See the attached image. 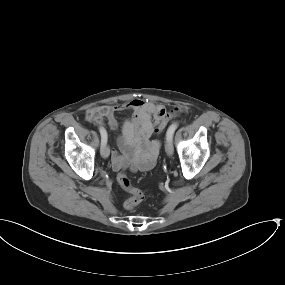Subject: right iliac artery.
I'll return each instance as SVG.
<instances>
[{
  "instance_id": "1",
  "label": "right iliac artery",
  "mask_w": 285,
  "mask_h": 285,
  "mask_svg": "<svg viewBox=\"0 0 285 285\" xmlns=\"http://www.w3.org/2000/svg\"><path fill=\"white\" fill-rule=\"evenodd\" d=\"M99 132L101 134V145L107 142V132L103 127H99Z\"/></svg>"
}]
</instances>
